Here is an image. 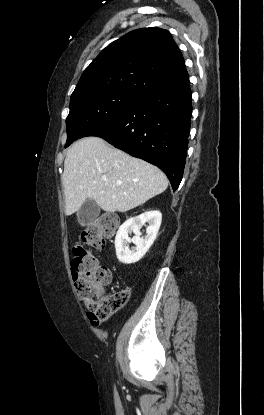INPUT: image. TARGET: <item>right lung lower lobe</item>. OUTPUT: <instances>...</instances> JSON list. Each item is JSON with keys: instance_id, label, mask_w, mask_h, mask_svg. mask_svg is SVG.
Wrapping results in <instances>:
<instances>
[{"instance_id": "98d812e1", "label": "right lung lower lobe", "mask_w": 264, "mask_h": 415, "mask_svg": "<svg viewBox=\"0 0 264 415\" xmlns=\"http://www.w3.org/2000/svg\"><path fill=\"white\" fill-rule=\"evenodd\" d=\"M192 98L189 77L154 91L88 136H97L131 156L159 167L173 190L182 180Z\"/></svg>"}]
</instances>
